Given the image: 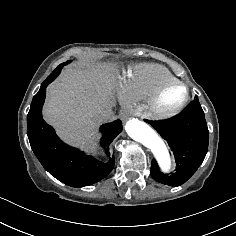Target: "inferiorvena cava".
I'll list each match as a JSON object with an SVG mask.
<instances>
[{
    "label": "inferior vena cava",
    "mask_w": 236,
    "mask_h": 236,
    "mask_svg": "<svg viewBox=\"0 0 236 236\" xmlns=\"http://www.w3.org/2000/svg\"><path fill=\"white\" fill-rule=\"evenodd\" d=\"M97 113L101 116L102 120H112V119H114L111 107H101L97 111Z\"/></svg>",
    "instance_id": "602c4592"
}]
</instances>
